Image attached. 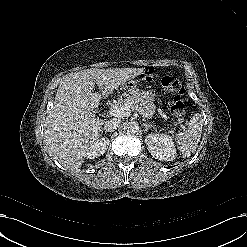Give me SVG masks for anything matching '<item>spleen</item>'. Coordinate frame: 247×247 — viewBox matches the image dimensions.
Returning a JSON list of instances; mask_svg holds the SVG:
<instances>
[{
    "instance_id": "1",
    "label": "spleen",
    "mask_w": 247,
    "mask_h": 247,
    "mask_svg": "<svg viewBox=\"0 0 247 247\" xmlns=\"http://www.w3.org/2000/svg\"><path fill=\"white\" fill-rule=\"evenodd\" d=\"M203 119L200 113L194 114L186 131L176 134L175 139L183 157H190L195 152L201 139Z\"/></svg>"
}]
</instances>
